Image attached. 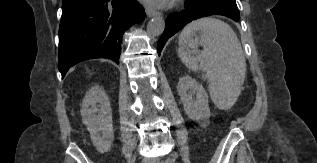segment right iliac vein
<instances>
[{
  "instance_id": "1",
  "label": "right iliac vein",
  "mask_w": 317,
  "mask_h": 163,
  "mask_svg": "<svg viewBox=\"0 0 317 163\" xmlns=\"http://www.w3.org/2000/svg\"><path fill=\"white\" fill-rule=\"evenodd\" d=\"M142 163H148V161H143Z\"/></svg>"
}]
</instances>
